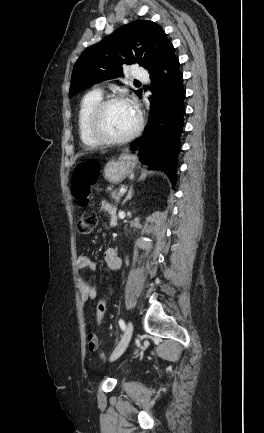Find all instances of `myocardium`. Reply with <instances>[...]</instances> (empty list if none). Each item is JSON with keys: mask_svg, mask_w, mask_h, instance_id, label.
<instances>
[{"mask_svg": "<svg viewBox=\"0 0 264 433\" xmlns=\"http://www.w3.org/2000/svg\"><path fill=\"white\" fill-rule=\"evenodd\" d=\"M117 103H126L133 107V109L136 112L137 121L134 128L125 136L122 137H111L104 133L102 129V119L105 110ZM143 124V119L140 111L137 109V107L126 97L123 96H111L102 99L98 104L95 105V107L92 109L87 122V129L90 134V136L98 143V144H124L129 141H131L133 138H135Z\"/></svg>", "mask_w": 264, "mask_h": 433, "instance_id": "1", "label": "myocardium"}]
</instances>
